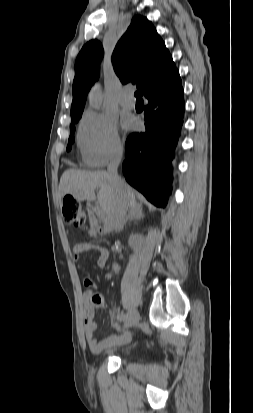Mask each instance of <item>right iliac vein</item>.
Instances as JSON below:
<instances>
[{
  "label": "right iliac vein",
  "instance_id": "obj_1",
  "mask_svg": "<svg viewBox=\"0 0 253 413\" xmlns=\"http://www.w3.org/2000/svg\"><path fill=\"white\" fill-rule=\"evenodd\" d=\"M139 315L138 312L133 310L129 313L127 319L124 321V327L129 328L138 322Z\"/></svg>",
  "mask_w": 253,
  "mask_h": 413
}]
</instances>
